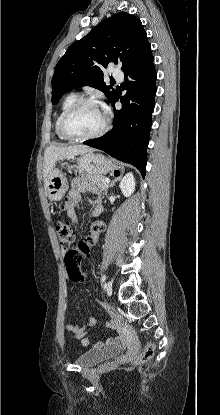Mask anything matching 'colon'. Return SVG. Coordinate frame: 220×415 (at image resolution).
I'll return each instance as SVG.
<instances>
[{"mask_svg": "<svg viewBox=\"0 0 220 415\" xmlns=\"http://www.w3.org/2000/svg\"><path fill=\"white\" fill-rule=\"evenodd\" d=\"M55 230L60 244L66 249L65 264L68 276L71 281L77 283L85 278L84 272L81 270L80 263L84 256L89 252L90 247L84 241L75 242L73 230L67 221H58ZM155 347L152 343H148L141 355L135 359L136 364H142L154 355Z\"/></svg>", "mask_w": 220, "mask_h": 415, "instance_id": "1", "label": "colon"}]
</instances>
